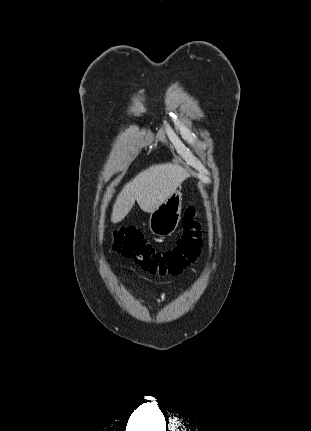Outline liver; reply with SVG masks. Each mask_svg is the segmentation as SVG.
I'll use <instances>...</instances> for the list:
<instances>
[{
    "label": "liver",
    "instance_id": "obj_1",
    "mask_svg": "<svg viewBox=\"0 0 311 431\" xmlns=\"http://www.w3.org/2000/svg\"><path fill=\"white\" fill-rule=\"evenodd\" d=\"M188 176L187 170L171 162L155 164L142 170L119 192L112 208V223H118L128 216L135 202L143 212H154Z\"/></svg>",
    "mask_w": 311,
    "mask_h": 431
}]
</instances>
